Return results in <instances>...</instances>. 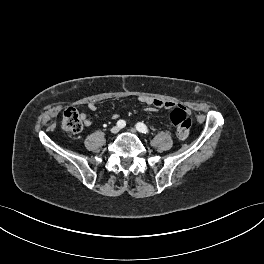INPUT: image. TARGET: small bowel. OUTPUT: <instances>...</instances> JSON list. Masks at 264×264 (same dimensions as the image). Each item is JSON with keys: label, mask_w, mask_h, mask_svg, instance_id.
<instances>
[{"label": "small bowel", "mask_w": 264, "mask_h": 264, "mask_svg": "<svg viewBox=\"0 0 264 264\" xmlns=\"http://www.w3.org/2000/svg\"><path fill=\"white\" fill-rule=\"evenodd\" d=\"M140 101L142 103L150 106L147 109L148 112H153L159 108L171 109L175 106L174 102L160 100V99H153V98H149V97L140 98ZM88 109L91 111H95L97 109V106L95 103H89ZM81 118H82L85 126L89 127L91 125V120L89 118H87L86 115L82 114ZM113 118H118V115L117 114L113 115Z\"/></svg>", "instance_id": "c3829d8e"}]
</instances>
